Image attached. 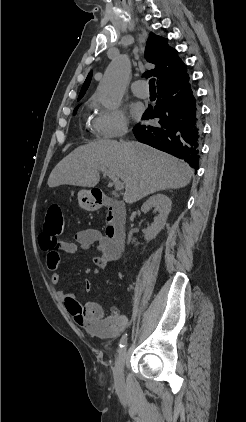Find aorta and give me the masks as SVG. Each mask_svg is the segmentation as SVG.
<instances>
[{"instance_id": "obj_1", "label": "aorta", "mask_w": 246, "mask_h": 422, "mask_svg": "<svg viewBox=\"0 0 246 422\" xmlns=\"http://www.w3.org/2000/svg\"><path fill=\"white\" fill-rule=\"evenodd\" d=\"M129 77L130 62L126 55H121L110 63L98 92L103 106L114 109L120 104Z\"/></svg>"}]
</instances>
